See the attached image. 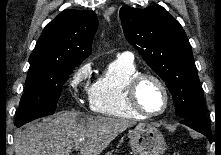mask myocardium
<instances>
[{"instance_id": "myocardium-1", "label": "myocardium", "mask_w": 221, "mask_h": 155, "mask_svg": "<svg viewBox=\"0 0 221 155\" xmlns=\"http://www.w3.org/2000/svg\"><path fill=\"white\" fill-rule=\"evenodd\" d=\"M146 79H150L154 81L163 92L165 102H164V106L162 110L158 112L146 111L139 102L138 90H139L141 83ZM126 99L131 109L144 117L160 116L167 111L170 105V94H169L166 84L163 82L162 79H160L155 74L146 73V72L145 73L139 72L129 80L126 86Z\"/></svg>"}]
</instances>
